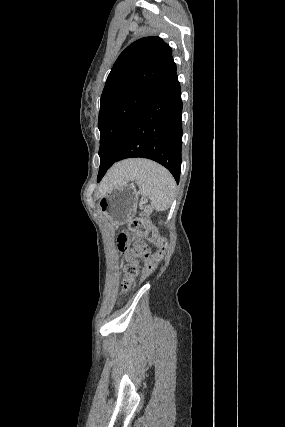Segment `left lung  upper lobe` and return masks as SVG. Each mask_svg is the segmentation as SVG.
<instances>
[{"label":"left lung upper lobe","instance_id":"5c2ea615","mask_svg":"<svg viewBox=\"0 0 285 427\" xmlns=\"http://www.w3.org/2000/svg\"><path fill=\"white\" fill-rule=\"evenodd\" d=\"M175 67L171 47L155 36L133 42L120 54L101 95L98 182L113 165L133 118Z\"/></svg>","mask_w":285,"mask_h":427}]
</instances>
